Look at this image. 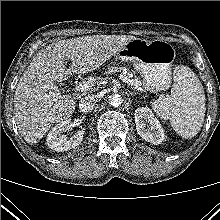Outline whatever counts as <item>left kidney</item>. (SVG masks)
I'll use <instances>...</instances> for the list:
<instances>
[{
	"instance_id": "5707ae66",
	"label": "left kidney",
	"mask_w": 220,
	"mask_h": 220,
	"mask_svg": "<svg viewBox=\"0 0 220 220\" xmlns=\"http://www.w3.org/2000/svg\"><path fill=\"white\" fill-rule=\"evenodd\" d=\"M135 124L138 135L145 141L154 145L161 144L164 139V130L160 122L148 107H140L135 110Z\"/></svg>"
}]
</instances>
